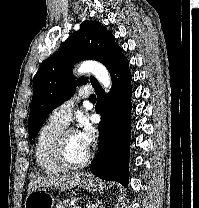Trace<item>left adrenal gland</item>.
Segmentation results:
<instances>
[{
  "label": "left adrenal gland",
  "mask_w": 199,
  "mask_h": 208,
  "mask_svg": "<svg viewBox=\"0 0 199 208\" xmlns=\"http://www.w3.org/2000/svg\"><path fill=\"white\" fill-rule=\"evenodd\" d=\"M100 204H102V202L100 201V200H97V202L96 203H88L87 204V208H98V206L100 205Z\"/></svg>",
  "instance_id": "1"
}]
</instances>
